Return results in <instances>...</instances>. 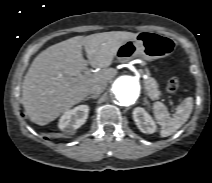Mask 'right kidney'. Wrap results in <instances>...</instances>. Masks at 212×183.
<instances>
[{
    "mask_svg": "<svg viewBox=\"0 0 212 183\" xmlns=\"http://www.w3.org/2000/svg\"><path fill=\"white\" fill-rule=\"evenodd\" d=\"M89 114L87 105H79L71 110H67L60 118L58 127L67 134H73L76 129L82 126Z\"/></svg>",
    "mask_w": 212,
    "mask_h": 183,
    "instance_id": "obj_1",
    "label": "right kidney"
}]
</instances>
